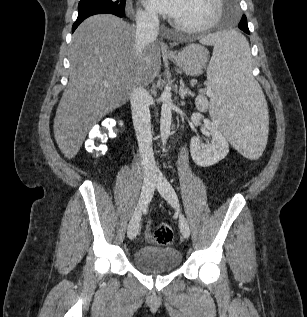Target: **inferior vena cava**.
Masks as SVG:
<instances>
[{"label": "inferior vena cava", "instance_id": "1", "mask_svg": "<svg viewBox=\"0 0 307 317\" xmlns=\"http://www.w3.org/2000/svg\"><path fill=\"white\" fill-rule=\"evenodd\" d=\"M158 29L157 15L143 14L137 17L134 46L136 58H141L147 45L157 38ZM150 100V94L145 88L138 85L132 86L130 92L132 119L145 177L154 176L158 172L152 149Z\"/></svg>", "mask_w": 307, "mask_h": 317}]
</instances>
